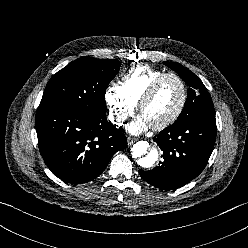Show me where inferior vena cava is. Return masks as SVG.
Masks as SVG:
<instances>
[{
  "instance_id": "inferior-vena-cava-1",
  "label": "inferior vena cava",
  "mask_w": 248,
  "mask_h": 248,
  "mask_svg": "<svg viewBox=\"0 0 248 248\" xmlns=\"http://www.w3.org/2000/svg\"><path fill=\"white\" fill-rule=\"evenodd\" d=\"M121 121V119H117V122H120Z\"/></svg>"
}]
</instances>
